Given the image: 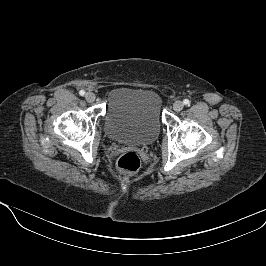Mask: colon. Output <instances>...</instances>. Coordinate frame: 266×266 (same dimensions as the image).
I'll return each mask as SVG.
<instances>
[{"instance_id":"obj_1","label":"colon","mask_w":266,"mask_h":266,"mask_svg":"<svg viewBox=\"0 0 266 266\" xmlns=\"http://www.w3.org/2000/svg\"><path fill=\"white\" fill-rule=\"evenodd\" d=\"M140 165L141 159L135 151H127L123 153L117 161L118 169L125 174H133L137 172Z\"/></svg>"}]
</instances>
